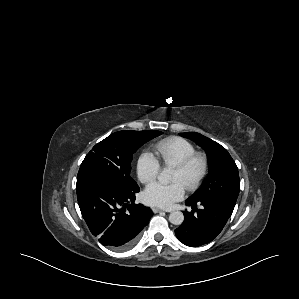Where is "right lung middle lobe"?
<instances>
[{"instance_id":"obj_1","label":"right lung middle lobe","mask_w":299,"mask_h":299,"mask_svg":"<svg viewBox=\"0 0 299 299\" xmlns=\"http://www.w3.org/2000/svg\"><path fill=\"white\" fill-rule=\"evenodd\" d=\"M161 134L155 130H125L111 134L86 155L77 179L93 174L106 177L124 189H138L137 183L130 176L133 154L141 145Z\"/></svg>"}]
</instances>
